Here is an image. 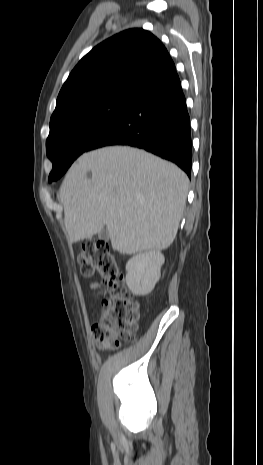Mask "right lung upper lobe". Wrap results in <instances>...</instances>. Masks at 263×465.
Returning a JSON list of instances; mask_svg holds the SVG:
<instances>
[{
    "mask_svg": "<svg viewBox=\"0 0 263 465\" xmlns=\"http://www.w3.org/2000/svg\"><path fill=\"white\" fill-rule=\"evenodd\" d=\"M174 72L175 65L157 37L139 28L125 30L80 60L58 95L51 119L91 100L135 97Z\"/></svg>",
    "mask_w": 263,
    "mask_h": 465,
    "instance_id": "obj_1",
    "label": "right lung upper lobe"
}]
</instances>
